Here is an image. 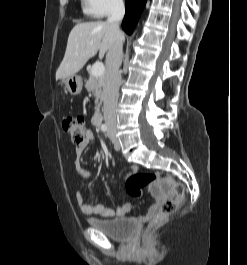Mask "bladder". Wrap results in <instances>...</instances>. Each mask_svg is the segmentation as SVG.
I'll return each instance as SVG.
<instances>
[{
	"label": "bladder",
	"instance_id": "bladder-1",
	"mask_svg": "<svg viewBox=\"0 0 247 265\" xmlns=\"http://www.w3.org/2000/svg\"><path fill=\"white\" fill-rule=\"evenodd\" d=\"M91 228L117 241L127 240L135 230V224L127 218L88 219Z\"/></svg>",
	"mask_w": 247,
	"mask_h": 265
}]
</instances>
